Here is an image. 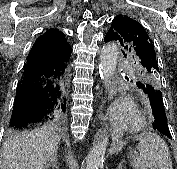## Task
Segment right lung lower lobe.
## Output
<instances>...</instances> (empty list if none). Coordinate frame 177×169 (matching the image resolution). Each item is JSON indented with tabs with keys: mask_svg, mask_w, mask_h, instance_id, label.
Masks as SVG:
<instances>
[{
	"mask_svg": "<svg viewBox=\"0 0 177 169\" xmlns=\"http://www.w3.org/2000/svg\"><path fill=\"white\" fill-rule=\"evenodd\" d=\"M69 66L67 62L28 56L17 86L11 128L49 122L63 126L67 116Z\"/></svg>",
	"mask_w": 177,
	"mask_h": 169,
	"instance_id": "right-lung-lower-lobe-1",
	"label": "right lung lower lobe"
}]
</instances>
